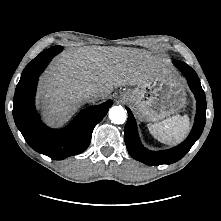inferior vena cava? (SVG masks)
Instances as JSON below:
<instances>
[{
  "label": "inferior vena cava",
  "instance_id": "inferior-vena-cava-1",
  "mask_svg": "<svg viewBox=\"0 0 221 221\" xmlns=\"http://www.w3.org/2000/svg\"><path fill=\"white\" fill-rule=\"evenodd\" d=\"M83 98L87 101V102H95L96 100L99 99V91L97 89H86L83 92Z\"/></svg>",
  "mask_w": 221,
  "mask_h": 221
}]
</instances>
